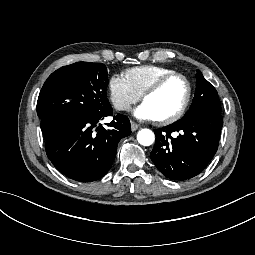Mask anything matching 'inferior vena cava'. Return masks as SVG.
Listing matches in <instances>:
<instances>
[{
	"mask_svg": "<svg viewBox=\"0 0 255 255\" xmlns=\"http://www.w3.org/2000/svg\"><path fill=\"white\" fill-rule=\"evenodd\" d=\"M113 104H114V107L119 110H123L126 106L129 105V103L126 100L120 97H116L113 100Z\"/></svg>",
	"mask_w": 255,
	"mask_h": 255,
	"instance_id": "602c4592",
	"label": "inferior vena cava"
}]
</instances>
